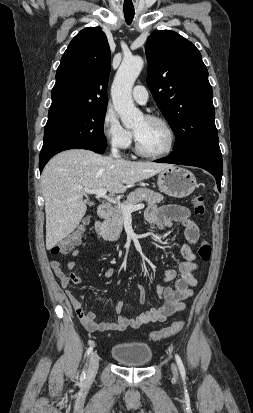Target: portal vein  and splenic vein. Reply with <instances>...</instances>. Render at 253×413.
I'll use <instances>...</instances> for the list:
<instances>
[{
	"label": "portal vein and splenic vein",
	"instance_id": "portal-vein-and-splenic-vein-1",
	"mask_svg": "<svg viewBox=\"0 0 253 413\" xmlns=\"http://www.w3.org/2000/svg\"><path fill=\"white\" fill-rule=\"evenodd\" d=\"M87 193L96 194L98 197L106 199L108 202L117 204L124 213V215H131L132 212L143 209L144 204H137V205H124L120 203V201L114 200L112 197L107 196V190L105 188H100L97 190H85Z\"/></svg>",
	"mask_w": 253,
	"mask_h": 413
}]
</instances>
